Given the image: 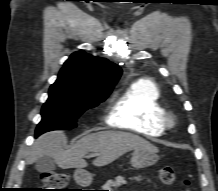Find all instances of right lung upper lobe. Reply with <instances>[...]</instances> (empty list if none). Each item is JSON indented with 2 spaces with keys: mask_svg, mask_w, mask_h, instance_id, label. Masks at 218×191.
<instances>
[{
  "mask_svg": "<svg viewBox=\"0 0 218 191\" xmlns=\"http://www.w3.org/2000/svg\"><path fill=\"white\" fill-rule=\"evenodd\" d=\"M121 73L107 59L78 51L66 60L55 83L83 95H109Z\"/></svg>",
  "mask_w": 218,
  "mask_h": 191,
  "instance_id": "cb5924a9",
  "label": "right lung upper lobe"
}]
</instances>
